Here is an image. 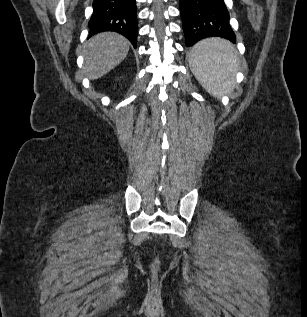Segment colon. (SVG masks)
Listing matches in <instances>:
<instances>
[{"label":"colon","mask_w":307,"mask_h":317,"mask_svg":"<svg viewBox=\"0 0 307 317\" xmlns=\"http://www.w3.org/2000/svg\"><path fill=\"white\" fill-rule=\"evenodd\" d=\"M157 267H158V263L155 262V263L153 264V270L156 271V270H157Z\"/></svg>","instance_id":"1"}]
</instances>
